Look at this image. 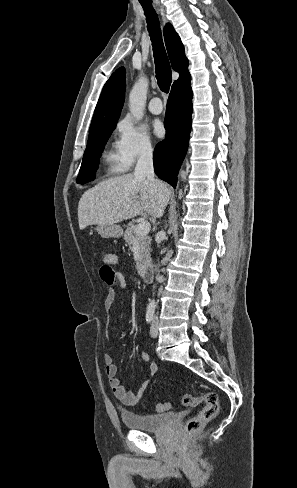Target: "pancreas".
I'll return each mask as SVG.
<instances>
[{
	"label": "pancreas",
	"instance_id": "cf45deb5",
	"mask_svg": "<svg viewBox=\"0 0 297 488\" xmlns=\"http://www.w3.org/2000/svg\"><path fill=\"white\" fill-rule=\"evenodd\" d=\"M124 240L129 245L133 246L134 243H138L140 251V260L137 263V269L139 270L142 266L147 265L150 260V241L151 238L147 234L138 235L136 233V225L133 222H129L127 229L124 234Z\"/></svg>",
	"mask_w": 297,
	"mask_h": 488
}]
</instances>
